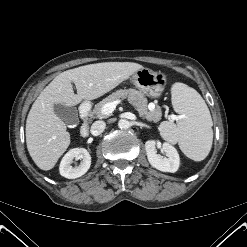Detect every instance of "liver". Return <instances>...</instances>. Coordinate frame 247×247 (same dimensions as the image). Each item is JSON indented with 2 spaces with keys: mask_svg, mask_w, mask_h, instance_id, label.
<instances>
[{
  "mask_svg": "<svg viewBox=\"0 0 247 247\" xmlns=\"http://www.w3.org/2000/svg\"><path fill=\"white\" fill-rule=\"evenodd\" d=\"M142 68L132 62H104L80 66L56 76L37 97L27 116L26 144L34 163L42 170H50L70 145V134L55 114V104L70 107L83 99L99 98Z\"/></svg>",
  "mask_w": 247,
  "mask_h": 247,
  "instance_id": "1",
  "label": "liver"
}]
</instances>
